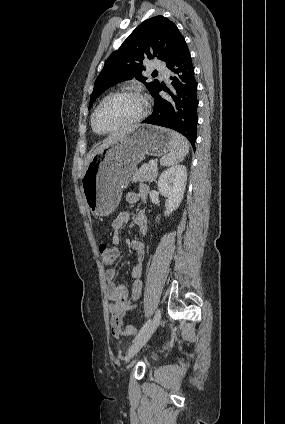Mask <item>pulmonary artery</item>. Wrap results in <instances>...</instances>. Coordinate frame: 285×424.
I'll use <instances>...</instances> for the list:
<instances>
[{"label": "pulmonary artery", "mask_w": 285, "mask_h": 424, "mask_svg": "<svg viewBox=\"0 0 285 424\" xmlns=\"http://www.w3.org/2000/svg\"><path fill=\"white\" fill-rule=\"evenodd\" d=\"M154 68L157 71L161 72L164 76H167L168 73H169V69L167 67H165L164 65L160 64V63H156L154 65Z\"/></svg>", "instance_id": "pulmonary-artery-1"}]
</instances>
